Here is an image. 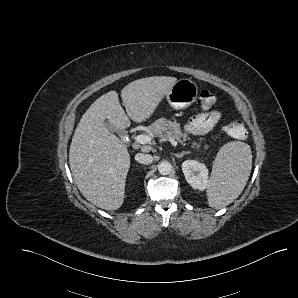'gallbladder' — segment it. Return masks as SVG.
Here are the masks:
<instances>
[{"label":"gallbladder","instance_id":"1","mask_svg":"<svg viewBox=\"0 0 298 298\" xmlns=\"http://www.w3.org/2000/svg\"><path fill=\"white\" fill-rule=\"evenodd\" d=\"M103 123H104V125H105L108 129H110L111 131L114 130V127H113L112 123H111L108 119L105 118V119L103 120Z\"/></svg>","mask_w":298,"mask_h":298}]
</instances>
